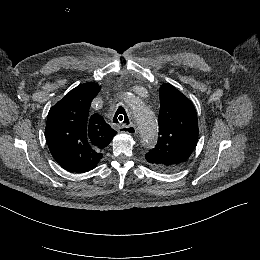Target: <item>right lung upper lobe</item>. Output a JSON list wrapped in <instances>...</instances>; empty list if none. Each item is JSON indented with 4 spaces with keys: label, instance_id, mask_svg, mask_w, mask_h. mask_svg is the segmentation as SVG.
Returning <instances> with one entry per match:
<instances>
[{
    "label": "right lung upper lobe",
    "instance_id": "obj_1",
    "mask_svg": "<svg viewBox=\"0 0 260 260\" xmlns=\"http://www.w3.org/2000/svg\"><path fill=\"white\" fill-rule=\"evenodd\" d=\"M100 88L93 82L82 84L49 111L46 141L54 159L69 171L84 173L94 169L117 133L101 115L89 114Z\"/></svg>",
    "mask_w": 260,
    "mask_h": 260
}]
</instances>
